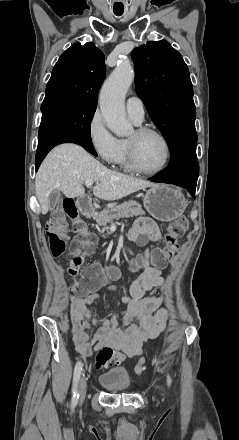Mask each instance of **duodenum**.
<instances>
[{"label": "duodenum", "mask_w": 239, "mask_h": 440, "mask_svg": "<svg viewBox=\"0 0 239 440\" xmlns=\"http://www.w3.org/2000/svg\"><path fill=\"white\" fill-rule=\"evenodd\" d=\"M77 207L81 214L89 215L92 211L91 200L88 196H81L77 200Z\"/></svg>", "instance_id": "410a0bca"}]
</instances>
